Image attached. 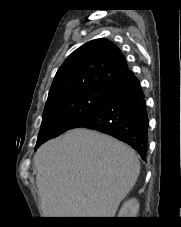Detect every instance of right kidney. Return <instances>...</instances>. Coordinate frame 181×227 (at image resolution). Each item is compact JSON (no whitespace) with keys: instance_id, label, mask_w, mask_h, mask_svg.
<instances>
[{"instance_id":"right-kidney-1","label":"right kidney","mask_w":181,"mask_h":227,"mask_svg":"<svg viewBox=\"0 0 181 227\" xmlns=\"http://www.w3.org/2000/svg\"><path fill=\"white\" fill-rule=\"evenodd\" d=\"M139 210V202L132 198L122 205L118 217H136Z\"/></svg>"}]
</instances>
